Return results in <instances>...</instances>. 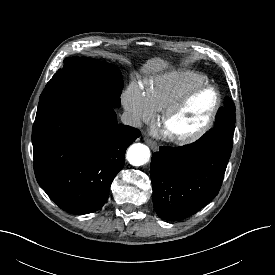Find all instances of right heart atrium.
I'll return each instance as SVG.
<instances>
[{"label": "right heart atrium", "instance_id": "obj_1", "mask_svg": "<svg viewBox=\"0 0 275 275\" xmlns=\"http://www.w3.org/2000/svg\"><path fill=\"white\" fill-rule=\"evenodd\" d=\"M122 102L125 110L134 123L149 121L153 117L144 92L136 85H131L124 92Z\"/></svg>", "mask_w": 275, "mask_h": 275}]
</instances>
